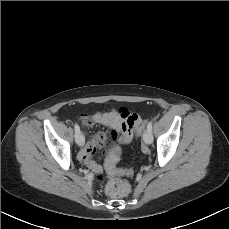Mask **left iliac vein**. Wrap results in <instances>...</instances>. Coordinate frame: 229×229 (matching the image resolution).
Returning <instances> with one entry per match:
<instances>
[{"label":"left iliac vein","mask_w":229,"mask_h":229,"mask_svg":"<svg viewBox=\"0 0 229 229\" xmlns=\"http://www.w3.org/2000/svg\"><path fill=\"white\" fill-rule=\"evenodd\" d=\"M143 141L148 145L152 144L153 142L152 133L148 129H146L143 133Z\"/></svg>","instance_id":"1"}]
</instances>
